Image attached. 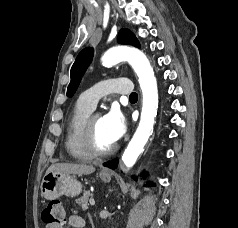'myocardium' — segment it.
Masks as SVG:
<instances>
[{
    "label": "myocardium",
    "instance_id": "1",
    "mask_svg": "<svg viewBox=\"0 0 238 228\" xmlns=\"http://www.w3.org/2000/svg\"><path fill=\"white\" fill-rule=\"evenodd\" d=\"M99 113H91L84 124V134H83V144L86 151L92 157H107L112 155L117 150V144L114 143L108 149L102 150L99 149L95 142V133H94V120L96 117H99Z\"/></svg>",
    "mask_w": 238,
    "mask_h": 228
}]
</instances>
